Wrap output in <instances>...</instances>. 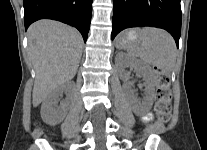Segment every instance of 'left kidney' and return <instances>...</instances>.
<instances>
[{
  "label": "left kidney",
  "mask_w": 207,
  "mask_h": 150,
  "mask_svg": "<svg viewBox=\"0 0 207 150\" xmlns=\"http://www.w3.org/2000/svg\"><path fill=\"white\" fill-rule=\"evenodd\" d=\"M116 62L122 67L121 76L123 78H128L127 74H125L123 70L125 67L133 68L137 75L144 78L145 91L142 102L135 98L133 91L129 89V87H126V94L129 98L132 110L137 116L147 114L152 108L155 95V76L152 68L144 62L128 56L125 53H119L116 56Z\"/></svg>",
  "instance_id": "obj_1"
}]
</instances>
